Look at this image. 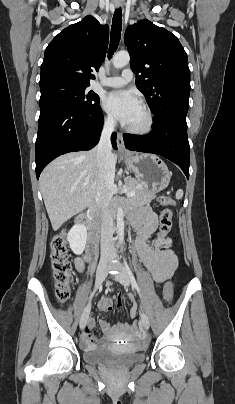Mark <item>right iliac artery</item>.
<instances>
[{
    "instance_id": "82829eb1",
    "label": "right iliac artery",
    "mask_w": 235,
    "mask_h": 404,
    "mask_svg": "<svg viewBox=\"0 0 235 404\" xmlns=\"http://www.w3.org/2000/svg\"><path fill=\"white\" fill-rule=\"evenodd\" d=\"M95 292H96V290H94V291L91 293V295H90V297H89V301L93 298ZM87 306H88V305H87ZM85 311H86V308H85V310H84V312H83V314H82L83 316L85 315V314H84ZM88 315H89V313H88Z\"/></svg>"
}]
</instances>
